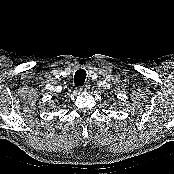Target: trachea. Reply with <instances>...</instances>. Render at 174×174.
<instances>
[{"mask_svg": "<svg viewBox=\"0 0 174 174\" xmlns=\"http://www.w3.org/2000/svg\"><path fill=\"white\" fill-rule=\"evenodd\" d=\"M86 71L84 69H79L76 71L75 75H74V83L75 86H83L85 79H86Z\"/></svg>", "mask_w": 174, "mask_h": 174, "instance_id": "3493384b", "label": "trachea"}]
</instances>
